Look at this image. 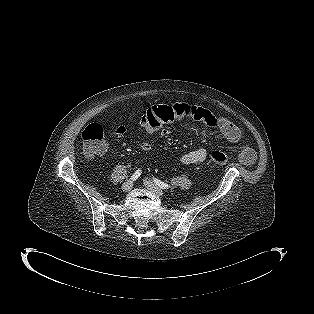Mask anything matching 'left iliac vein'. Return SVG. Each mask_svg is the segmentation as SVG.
I'll return each mask as SVG.
<instances>
[{
  "mask_svg": "<svg viewBox=\"0 0 314 314\" xmlns=\"http://www.w3.org/2000/svg\"><path fill=\"white\" fill-rule=\"evenodd\" d=\"M144 184L150 191H152L157 196H163L164 195L163 190L160 189L158 186H156L152 181L145 179Z\"/></svg>",
  "mask_w": 314,
  "mask_h": 314,
  "instance_id": "left-iliac-vein-1",
  "label": "left iliac vein"
}]
</instances>
